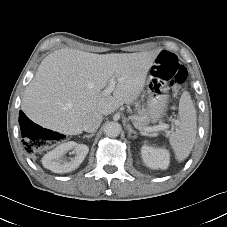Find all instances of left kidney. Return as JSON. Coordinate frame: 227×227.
Returning <instances> with one entry per match:
<instances>
[{
  "label": "left kidney",
  "instance_id": "left-kidney-1",
  "mask_svg": "<svg viewBox=\"0 0 227 227\" xmlns=\"http://www.w3.org/2000/svg\"><path fill=\"white\" fill-rule=\"evenodd\" d=\"M141 155L144 163L152 169H167L170 155L166 149L143 146Z\"/></svg>",
  "mask_w": 227,
  "mask_h": 227
}]
</instances>
